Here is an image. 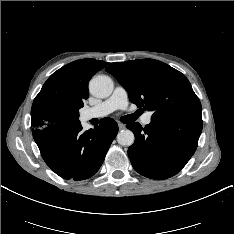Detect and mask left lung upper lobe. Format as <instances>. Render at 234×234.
<instances>
[{
	"instance_id": "obj_1",
	"label": "left lung upper lobe",
	"mask_w": 234,
	"mask_h": 234,
	"mask_svg": "<svg viewBox=\"0 0 234 234\" xmlns=\"http://www.w3.org/2000/svg\"><path fill=\"white\" fill-rule=\"evenodd\" d=\"M111 73L137 107L152 111V121L201 117V103L184 74L153 59L109 64Z\"/></svg>"
}]
</instances>
